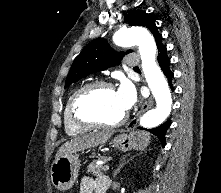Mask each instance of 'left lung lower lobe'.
I'll return each instance as SVG.
<instances>
[{"instance_id":"1","label":"left lung lower lobe","mask_w":221,"mask_h":193,"mask_svg":"<svg viewBox=\"0 0 221 193\" xmlns=\"http://www.w3.org/2000/svg\"><path fill=\"white\" fill-rule=\"evenodd\" d=\"M157 48H158V63L163 73L165 74L166 78L168 79L172 91H174V88L172 86L173 72L170 70L169 67L170 59L167 56V49L162 44V42L157 46ZM169 126H170V121H167L164 124L149 130L152 134L156 135L160 139L163 147L165 146V133ZM140 129L143 128L140 127Z\"/></svg>"}]
</instances>
